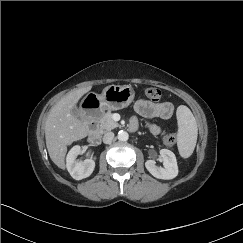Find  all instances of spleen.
Listing matches in <instances>:
<instances>
[{
    "label": "spleen",
    "mask_w": 243,
    "mask_h": 243,
    "mask_svg": "<svg viewBox=\"0 0 243 243\" xmlns=\"http://www.w3.org/2000/svg\"><path fill=\"white\" fill-rule=\"evenodd\" d=\"M178 121L177 147L179 154L183 158L192 155L198 136V128L195 117L191 110L184 105H180L176 111Z\"/></svg>",
    "instance_id": "3e777b00"
}]
</instances>
